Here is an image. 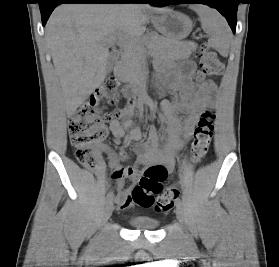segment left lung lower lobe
I'll return each mask as SVG.
<instances>
[{"label":"left lung lower lobe","instance_id":"left-lung-lower-lobe-1","mask_svg":"<svg viewBox=\"0 0 279 267\" xmlns=\"http://www.w3.org/2000/svg\"><path fill=\"white\" fill-rule=\"evenodd\" d=\"M145 3H150L154 6H165L178 3L208 4L223 14L232 31H236L238 0H147Z\"/></svg>","mask_w":279,"mask_h":267}]
</instances>
